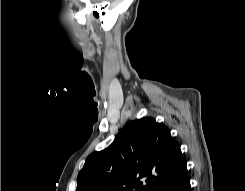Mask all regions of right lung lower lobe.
Returning a JSON list of instances; mask_svg holds the SVG:
<instances>
[{
    "instance_id": "98d812e1",
    "label": "right lung lower lobe",
    "mask_w": 245,
    "mask_h": 191,
    "mask_svg": "<svg viewBox=\"0 0 245 191\" xmlns=\"http://www.w3.org/2000/svg\"><path fill=\"white\" fill-rule=\"evenodd\" d=\"M154 191H191L187 167L172 178L161 183Z\"/></svg>"
}]
</instances>
